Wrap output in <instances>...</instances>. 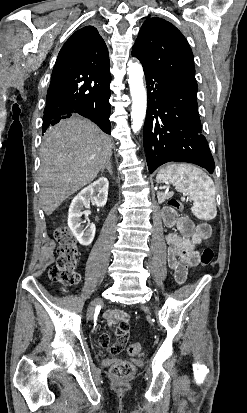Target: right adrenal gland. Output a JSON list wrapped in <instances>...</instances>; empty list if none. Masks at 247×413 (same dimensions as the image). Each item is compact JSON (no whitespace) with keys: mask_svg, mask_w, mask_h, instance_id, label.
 Instances as JSON below:
<instances>
[{"mask_svg":"<svg viewBox=\"0 0 247 413\" xmlns=\"http://www.w3.org/2000/svg\"><path fill=\"white\" fill-rule=\"evenodd\" d=\"M105 168H107L109 174H112V166H111L110 158H109V160H107L106 164H104V166H102L101 172H104Z\"/></svg>","mask_w":247,"mask_h":413,"instance_id":"2a0ac1e0","label":"right adrenal gland"}]
</instances>
